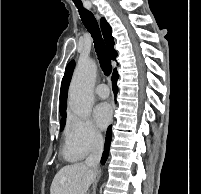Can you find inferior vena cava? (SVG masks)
<instances>
[{
	"label": "inferior vena cava",
	"mask_w": 201,
	"mask_h": 194,
	"mask_svg": "<svg viewBox=\"0 0 201 194\" xmlns=\"http://www.w3.org/2000/svg\"><path fill=\"white\" fill-rule=\"evenodd\" d=\"M103 145H104L103 137L102 136L95 137L91 146L90 154L85 160V164L93 168L94 170L97 169L100 163V159L103 152Z\"/></svg>",
	"instance_id": "1"
}]
</instances>
